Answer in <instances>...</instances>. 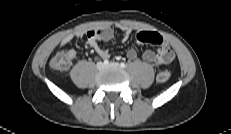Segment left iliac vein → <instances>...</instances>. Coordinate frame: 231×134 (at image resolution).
Instances as JSON below:
<instances>
[{"mask_svg": "<svg viewBox=\"0 0 231 134\" xmlns=\"http://www.w3.org/2000/svg\"><path fill=\"white\" fill-rule=\"evenodd\" d=\"M120 65L117 62H112L108 64L106 67L118 68Z\"/></svg>", "mask_w": 231, "mask_h": 134, "instance_id": "1", "label": "left iliac vein"}]
</instances>
